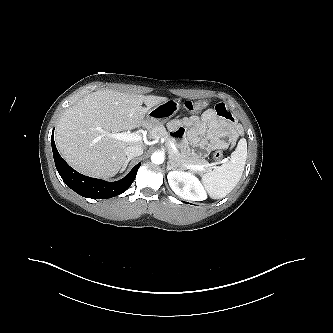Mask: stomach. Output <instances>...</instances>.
<instances>
[{
    "label": "stomach",
    "instance_id": "1",
    "mask_svg": "<svg viewBox=\"0 0 333 333\" xmlns=\"http://www.w3.org/2000/svg\"><path fill=\"white\" fill-rule=\"evenodd\" d=\"M179 109V101L176 99H166L147 113L145 123L148 127L163 124L173 117Z\"/></svg>",
    "mask_w": 333,
    "mask_h": 333
}]
</instances>
